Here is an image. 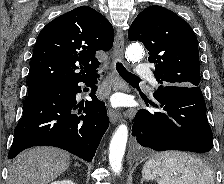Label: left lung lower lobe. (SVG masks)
<instances>
[{
    "label": "left lung lower lobe",
    "instance_id": "0a47b994",
    "mask_svg": "<svg viewBox=\"0 0 224 184\" xmlns=\"http://www.w3.org/2000/svg\"><path fill=\"white\" fill-rule=\"evenodd\" d=\"M156 111L136 114L132 135L156 151L206 153L213 148L212 131L200 87L162 85L154 92Z\"/></svg>",
    "mask_w": 224,
    "mask_h": 184
}]
</instances>
